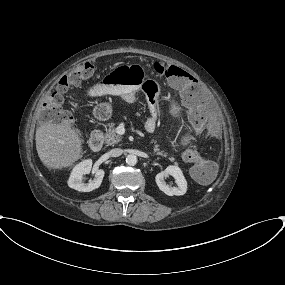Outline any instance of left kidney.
Masks as SVG:
<instances>
[{
	"mask_svg": "<svg viewBox=\"0 0 285 285\" xmlns=\"http://www.w3.org/2000/svg\"><path fill=\"white\" fill-rule=\"evenodd\" d=\"M170 175L175 179L177 187H171L165 182V178ZM156 183L161 191L168 196L184 195L187 191V181L178 166H168L164 171L158 173L155 177Z\"/></svg>",
	"mask_w": 285,
	"mask_h": 285,
	"instance_id": "obj_1",
	"label": "left kidney"
}]
</instances>
